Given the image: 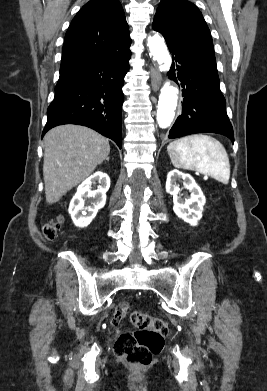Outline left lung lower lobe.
Returning a JSON list of instances; mask_svg holds the SVG:
<instances>
[{
    "mask_svg": "<svg viewBox=\"0 0 267 391\" xmlns=\"http://www.w3.org/2000/svg\"><path fill=\"white\" fill-rule=\"evenodd\" d=\"M167 46L173 55L169 78L181 81L184 97L181 115L168 137L210 132L225 135L233 142V128L220 91L215 59L172 43L167 42Z\"/></svg>",
    "mask_w": 267,
    "mask_h": 391,
    "instance_id": "1",
    "label": "left lung lower lobe"
}]
</instances>
